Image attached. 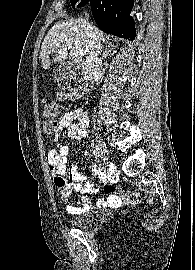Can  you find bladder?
I'll use <instances>...</instances> for the list:
<instances>
[{
  "label": "bladder",
  "mask_w": 195,
  "mask_h": 270,
  "mask_svg": "<svg viewBox=\"0 0 195 270\" xmlns=\"http://www.w3.org/2000/svg\"><path fill=\"white\" fill-rule=\"evenodd\" d=\"M95 220V213L88 211L73 217L70 220V224L77 228H88L94 224Z\"/></svg>",
  "instance_id": "bladder-1"
}]
</instances>
